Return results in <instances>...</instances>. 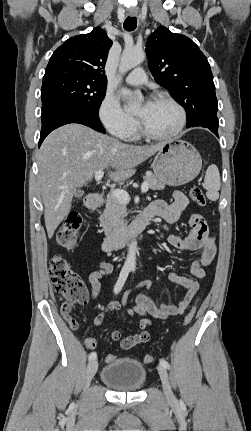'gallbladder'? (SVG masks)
Returning <instances> with one entry per match:
<instances>
[{"mask_svg":"<svg viewBox=\"0 0 251 431\" xmlns=\"http://www.w3.org/2000/svg\"><path fill=\"white\" fill-rule=\"evenodd\" d=\"M84 194V191H82V190H79V191H77L76 192V195H75V197H81L82 195Z\"/></svg>","mask_w":251,"mask_h":431,"instance_id":"bac80fb5","label":"gallbladder"}]
</instances>
